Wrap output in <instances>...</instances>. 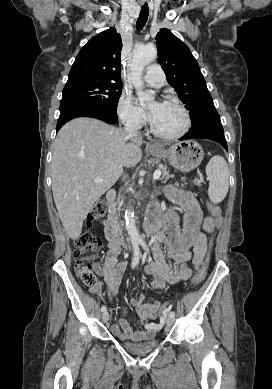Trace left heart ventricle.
Segmentation results:
<instances>
[{"label": "left heart ventricle", "mask_w": 272, "mask_h": 389, "mask_svg": "<svg viewBox=\"0 0 272 389\" xmlns=\"http://www.w3.org/2000/svg\"><path fill=\"white\" fill-rule=\"evenodd\" d=\"M151 122L159 132L174 134L183 127L184 117L178 108L160 103Z\"/></svg>", "instance_id": "obj_1"}]
</instances>
